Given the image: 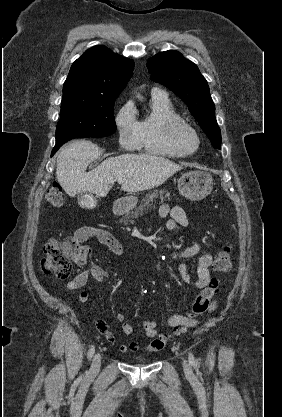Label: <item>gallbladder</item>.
Here are the masks:
<instances>
[{"label":"gallbladder","instance_id":"gallbladder-1","mask_svg":"<svg viewBox=\"0 0 282 417\" xmlns=\"http://www.w3.org/2000/svg\"><path fill=\"white\" fill-rule=\"evenodd\" d=\"M77 198H78V204H80V206H86L91 196L88 190H83V192H79V194H77Z\"/></svg>","mask_w":282,"mask_h":417}]
</instances>
